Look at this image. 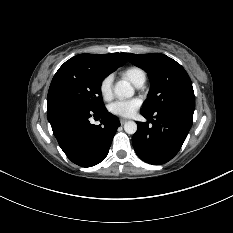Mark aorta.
<instances>
[{
  "label": "aorta",
  "mask_w": 233,
  "mask_h": 233,
  "mask_svg": "<svg viewBox=\"0 0 233 233\" xmlns=\"http://www.w3.org/2000/svg\"><path fill=\"white\" fill-rule=\"evenodd\" d=\"M114 93L119 99L130 98L134 95V88L127 81H118L114 87ZM124 130L127 134H134L137 131V124L134 121H128L124 124Z\"/></svg>",
  "instance_id": "1"
}]
</instances>
